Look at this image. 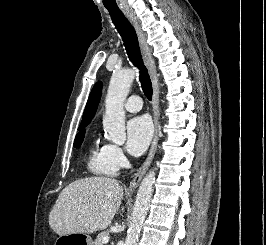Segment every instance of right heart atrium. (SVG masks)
Wrapping results in <instances>:
<instances>
[{
	"instance_id": "obj_1",
	"label": "right heart atrium",
	"mask_w": 266,
	"mask_h": 245,
	"mask_svg": "<svg viewBox=\"0 0 266 245\" xmlns=\"http://www.w3.org/2000/svg\"><path fill=\"white\" fill-rule=\"evenodd\" d=\"M109 157L114 166L119 169L125 166L127 162L126 155L121 147L115 144H106Z\"/></svg>"
}]
</instances>
